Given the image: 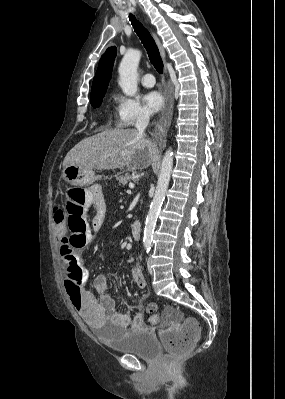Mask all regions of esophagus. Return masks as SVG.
<instances>
[{
    "mask_svg": "<svg viewBox=\"0 0 285 399\" xmlns=\"http://www.w3.org/2000/svg\"><path fill=\"white\" fill-rule=\"evenodd\" d=\"M153 36H154V38H155V41H156L157 46H158V48H159L161 57H162V59H163L165 72L168 73V68H167V63H166V54H165L164 47L162 46L161 41L159 40V38L157 37V35H155V34L153 33ZM172 111H173L172 108H169V110H168V124H170V121H171Z\"/></svg>",
    "mask_w": 285,
    "mask_h": 399,
    "instance_id": "34e87169",
    "label": "esophagus"
}]
</instances>
